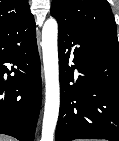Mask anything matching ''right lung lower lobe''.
<instances>
[{"label":"right lung lower lobe","instance_id":"98d812e1","mask_svg":"<svg viewBox=\"0 0 119 141\" xmlns=\"http://www.w3.org/2000/svg\"><path fill=\"white\" fill-rule=\"evenodd\" d=\"M9 64H13L11 71ZM12 71L14 76H10ZM41 100L40 59L33 19L0 34V133L20 141H34Z\"/></svg>","mask_w":119,"mask_h":141}]
</instances>
